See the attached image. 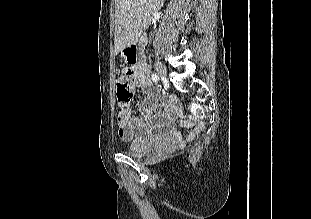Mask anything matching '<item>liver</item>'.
<instances>
[{"mask_svg": "<svg viewBox=\"0 0 311 219\" xmlns=\"http://www.w3.org/2000/svg\"><path fill=\"white\" fill-rule=\"evenodd\" d=\"M165 0H115V54L132 45Z\"/></svg>", "mask_w": 311, "mask_h": 219, "instance_id": "1", "label": "liver"}]
</instances>
